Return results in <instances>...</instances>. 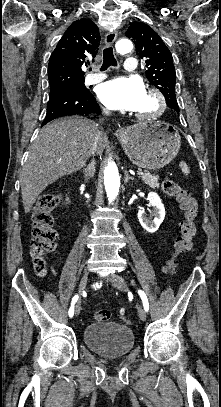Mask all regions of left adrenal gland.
Here are the masks:
<instances>
[{
	"instance_id": "1",
	"label": "left adrenal gland",
	"mask_w": 221,
	"mask_h": 407,
	"mask_svg": "<svg viewBox=\"0 0 221 407\" xmlns=\"http://www.w3.org/2000/svg\"><path fill=\"white\" fill-rule=\"evenodd\" d=\"M129 180H134L132 176L129 175L128 171H125L124 183L127 184Z\"/></svg>"
}]
</instances>
